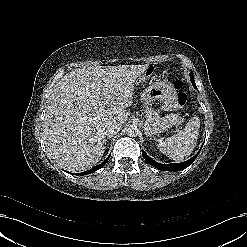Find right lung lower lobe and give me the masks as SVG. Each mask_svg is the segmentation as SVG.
<instances>
[{
    "mask_svg": "<svg viewBox=\"0 0 247 247\" xmlns=\"http://www.w3.org/2000/svg\"><path fill=\"white\" fill-rule=\"evenodd\" d=\"M109 157H110V155L107 157V159H106L103 163H101V164L98 165V166L93 167V168L90 169V170H87V171H85V172L80 173V175L90 174V173H92V172H95V171L99 170L101 167H103V166L105 165V163L108 161Z\"/></svg>",
    "mask_w": 247,
    "mask_h": 247,
    "instance_id": "98d812e1",
    "label": "right lung lower lobe"
}]
</instances>
